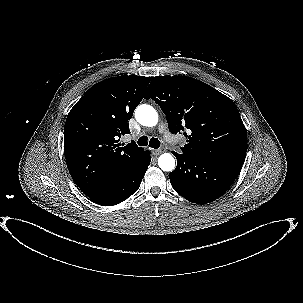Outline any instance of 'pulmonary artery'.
<instances>
[{"mask_svg":"<svg viewBox=\"0 0 303 303\" xmlns=\"http://www.w3.org/2000/svg\"><path fill=\"white\" fill-rule=\"evenodd\" d=\"M159 131L161 134H163L164 138L169 142L173 144H177V140L174 139L172 134L167 129V126L165 124H162L159 128Z\"/></svg>","mask_w":303,"mask_h":303,"instance_id":"pulmonary-artery-1","label":"pulmonary artery"}]
</instances>
